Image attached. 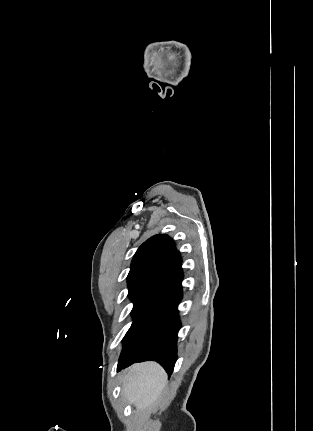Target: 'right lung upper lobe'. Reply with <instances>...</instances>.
Returning a JSON list of instances; mask_svg holds the SVG:
<instances>
[{"label":"right lung upper lobe","instance_id":"cb5924a9","mask_svg":"<svg viewBox=\"0 0 313 431\" xmlns=\"http://www.w3.org/2000/svg\"><path fill=\"white\" fill-rule=\"evenodd\" d=\"M181 264L180 253L169 236L151 237L133 257L127 277L128 296L149 298L181 268Z\"/></svg>","mask_w":313,"mask_h":431}]
</instances>
